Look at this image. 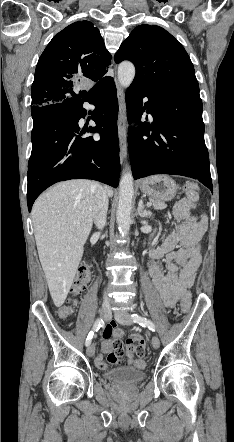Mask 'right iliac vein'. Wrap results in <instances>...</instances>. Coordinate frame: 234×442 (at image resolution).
<instances>
[{
	"mask_svg": "<svg viewBox=\"0 0 234 442\" xmlns=\"http://www.w3.org/2000/svg\"><path fill=\"white\" fill-rule=\"evenodd\" d=\"M100 315H101V317L104 319V321H108V320H109V318H110V304H109L108 301H104V302H103V304H102V310H101ZM86 352H87V355H88L89 357L94 356V354H95V345H94V344H90V345L87 347Z\"/></svg>",
	"mask_w": 234,
	"mask_h": 442,
	"instance_id": "right-iliac-vein-1",
	"label": "right iliac vein"
}]
</instances>
